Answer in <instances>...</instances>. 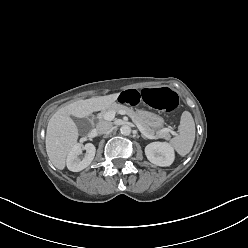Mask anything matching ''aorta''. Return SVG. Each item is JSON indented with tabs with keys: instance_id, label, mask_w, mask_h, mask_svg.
I'll list each match as a JSON object with an SVG mask.
<instances>
[{
	"instance_id": "obj_1",
	"label": "aorta",
	"mask_w": 248,
	"mask_h": 248,
	"mask_svg": "<svg viewBox=\"0 0 248 248\" xmlns=\"http://www.w3.org/2000/svg\"><path fill=\"white\" fill-rule=\"evenodd\" d=\"M120 132H121L122 135L128 136V135H130V133H131V127L128 126V125H123V126L120 128Z\"/></svg>"
}]
</instances>
